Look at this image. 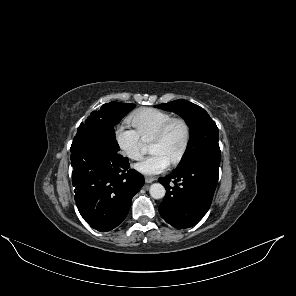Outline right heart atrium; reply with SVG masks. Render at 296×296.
<instances>
[{
  "label": "right heart atrium",
  "mask_w": 296,
  "mask_h": 296,
  "mask_svg": "<svg viewBox=\"0 0 296 296\" xmlns=\"http://www.w3.org/2000/svg\"><path fill=\"white\" fill-rule=\"evenodd\" d=\"M115 139L119 149L129 159L140 160L143 157L144 142L136 130L121 125L116 130Z\"/></svg>",
  "instance_id": "1"
}]
</instances>
